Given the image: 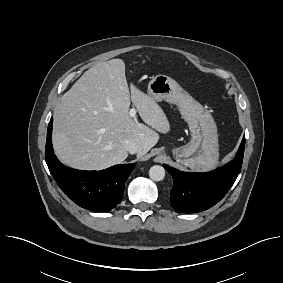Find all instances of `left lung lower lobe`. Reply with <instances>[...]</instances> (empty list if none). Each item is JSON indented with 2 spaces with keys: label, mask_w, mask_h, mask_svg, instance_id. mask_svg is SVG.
Segmentation results:
<instances>
[{
  "label": "left lung lower lobe",
  "mask_w": 283,
  "mask_h": 283,
  "mask_svg": "<svg viewBox=\"0 0 283 283\" xmlns=\"http://www.w3.org/2000/svg\"><path fill=\"white\" fill-rule=\"evenodd\" d=\"M244 146L245 138L232 162L208 173L181 172L164 164L174 181L170 192L172 207L181 213H196L218 203L240 173Z\"/></svg>",
  "instance_id": "1"
}]
</instances>
